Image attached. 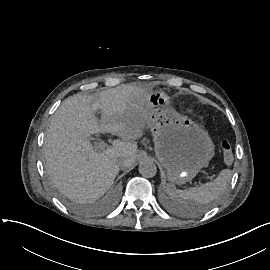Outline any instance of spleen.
<instances>
[{
    "label": "spleen",
    "mask_w": 270,
    "mask_h": 270,
    "mask_svg": "<svg viewBox=\"0 0 270 270\" xmlns=\"http://www.w3.org/2000/svg\"><path fill=\"white\" fill-rule=\"evenodd\" d=\"M233 173L231 169H223L216 176L214 181L206 182L195 186L194 188L182 191L175 189L173 185L168 184L167 190L169 196L179 202H193L194 204H206L222 194L230 183Z\"/></svg>",
    "instance_id": "3e777b00"
}]
</instances>
